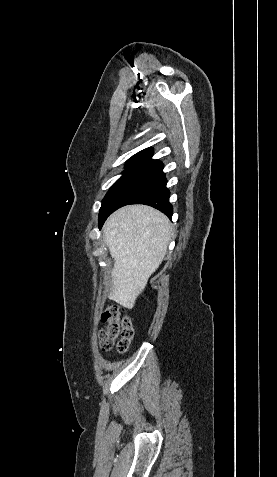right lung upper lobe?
Listing matches in <instances>:
<instances>
[{
	"instance_id": "1",
	"label": "right lung upper lobe",
	"mask_w": 277,
	"mask_h": 477,
	"mask_svg": "<svg viewBox=\"0 0 277 477\" xmlns=\"http://www.w3.org/2000/svg\"><path fill=\"white\" fill-rule=\"evenodd\" d=\"M153 155L152 148L144 149L126 162V167H144V168H158L162 169L163 164L159 160L151 159Z\"/></svg>"
}]
</instances>
